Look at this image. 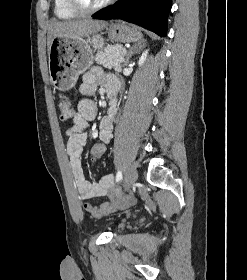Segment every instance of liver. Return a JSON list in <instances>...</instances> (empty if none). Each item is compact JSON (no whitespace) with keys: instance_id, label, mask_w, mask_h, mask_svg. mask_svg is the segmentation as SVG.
I'll use <instances>...</instances> for the list:
<instances>
[{"instance_id":"liver-1","label":"liver","mask_w":247,"mask_h":280,"mask_svg":"<svg viewBox=\"0 0 247 280\" xmlns=\"http://www.w3.org/2000/svg\"><path fill=\"white\" fill-rule=\"evenodd\" d=\"M107 22L92 19L53 21L48 26V53L55 37L84 38L107 27Z\"/></svg>"}]
</instances>
